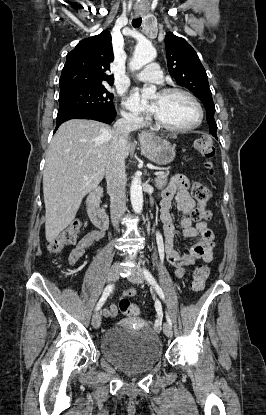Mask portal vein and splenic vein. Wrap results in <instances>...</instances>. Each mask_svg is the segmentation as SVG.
<instances>
[{
	"mask_svg": "<svg viewBox=\"0 0 266 415\" xmlns=\"http://www.w3.org/2000/svg\"><path fill=\"white\" fill-rule=\"evenodd\" d=\"M163 173L164 172H155L154 175H160V174H163ZM83 178H84V180H87L88 179V177H86V176H84Z\"/></svg>",
	"mask_w": 266,
	"mask_h": 415,
	"instance_id": "portal-vein-and-splenic-vein-1",
	"label": "portal vein and splenic vein"
}]
</instances>
